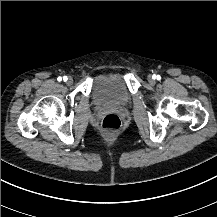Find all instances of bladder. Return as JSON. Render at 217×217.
Listing matches in <instances>:
<instances>
[{
  "label": "bladder",
  "mask_w": 217,
  "mask_h": 217,
  "mask_svg": "<svg viewBox=\"0 0 217 217\" xmlns=\"http://www.w3.org/2000/svg\"><path fill=\"white\" fill-rule=\"evenodd\" d=\"M95 98L99 103L122 107L130 102V93L126 84L109 77L96 84Z\"/></svg>",
  "instance_id": "31cf9c89"
}]
</instances>
